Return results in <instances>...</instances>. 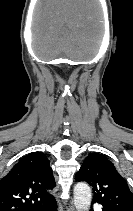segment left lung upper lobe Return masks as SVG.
<instances>
[{
    "instance_id": "1",
    "label": "left lung upper lobe",
    "mask_w": 133,
    "mask_h": 211,
    "mask_svg": "<svg viewBox=\"0 0 133 211\" xmlns=\"http://www.w3.org/2000/svg\"><path fill=\"white\" fill-rule=\"evenodd\" d=\"M76 180L86 181L92 186L93 202L101 204L103 211H133V194L127 182L104 155H88Z\"/></svg>"
}]
</instances>
